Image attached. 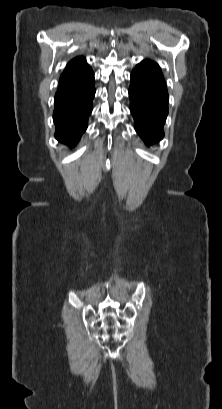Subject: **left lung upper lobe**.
<instances>
[{
    "label": "left lung upper lobe",
    "instance_id": "5c2ea615",
    "mask_svg": "<svg viewBox=\"0 0 222 409\" xmlns=\"http://www.w3.org/2000/svg\"><path fill=\"white\" fill-rule=\"evenodd\" d=\"M136 69L144 70L159 76H163L159 66L156 63L149 60L142 61L140 64L136 66Z\"/></svg>",
    "mask_w": 222,
    "mask_h": 409
}]
</instances>
